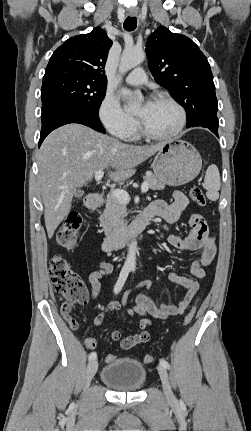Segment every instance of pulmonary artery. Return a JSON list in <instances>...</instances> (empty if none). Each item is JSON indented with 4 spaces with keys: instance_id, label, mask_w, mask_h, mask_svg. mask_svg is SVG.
<instances>
[{
    "instance_id": "obj_1",
    "label": "pulmonary artery",
    "mask_w": 251,
    "mask_h": 431,
    "mask_svg": "<svg viewBox=\"0 0 251 431\" xmlns=\"http://www.w3.org/2000/svg\"><path fill=\"white\" fill-rule=\"evenodd\" d=\"M125 81L130 85H143L147 82V76L142 68H136L126 76Z\"/></svg>"
}]
</instances>
